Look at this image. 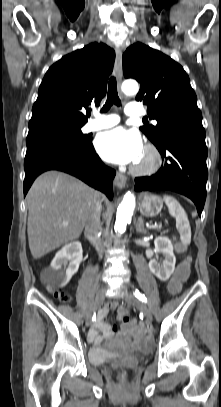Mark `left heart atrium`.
Instances as JSON below:
<instances>
[{
	"mask_svg": "<svg viewBox=\"0 0 221 407\" xmlns=\"http://www.w3.org/2000/svg\"><path fill=\"white\" fill-rule=\"evenodd\" d=\"M96 148L106 161L117 164L136 163L144 151L139 134L123 127L102 133Z\"/></svg>",
	"mask_w": 221,
	"mask_h": 407,
	"instance_id": "obj_1",
	"label": "left heart atrium"
}]
</instances>
